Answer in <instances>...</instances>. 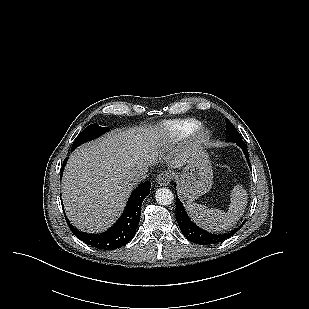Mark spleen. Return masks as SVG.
Returning <instances> with one entry per match:
<instances>
[{
  "instance_id": "obj_1",
  "label": "spleen",
  "mask_w": 309,
  "mask_h": 309,
  "mask_svg": "<svg viewBox=\"0 0 309 309\" xmlns=\"http://www.w3.org/2000/svg\"><path fill=\"white\" fill-rule=\"evenodd\" d=\"M247 200L246 190L241 185H236L232 190L227 212L191 201L187 202V210L201 227L212 232H221L230 229L240 219L247 206Z\"/></svg>"
}]
</instances>
